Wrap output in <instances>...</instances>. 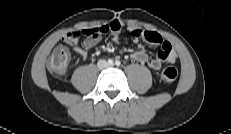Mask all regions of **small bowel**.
<instances>
[{
    "instance_id": "c3829d8e",
    "label": "small bowel",
    "mask_w": 231,
    "mask_h": 134,
    "mask_svg": "<svg viewBox=\"0 0 231 134\" xmlns=\"http://www.w3.org/2000/svg\"><path fill=\"white\" fill-rule=\"evenodd\" d=\"M121 31V24L118 20H113L107 25L100 26L98 28L75 30L69 32L63 37L64 43L70 45L74 51H76L82 58L87 57V52L76 46V40L85 35L83 45L85 48L90 49L94 47L101 39V37L110 33L114 42H119V34ZM130 36L134 42L139 39H143L149 44L160 47V50L155 58H151L145 51L138 50L131 54V58L137 62L148 65L151 69L158 71L164 64L174 63L177 59V54L167 40H165L160 34L154 31H143L138 28H130Z\"/></svg>"
}]
</instances>
